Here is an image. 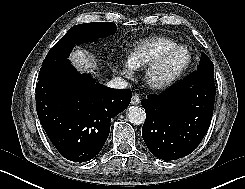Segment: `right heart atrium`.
Instances as JSON below:
<instances>
[{
    "label": "right heart atrium",
    "mask_w": 245,
    "mask_h": 189,
    "mask_svg": "<svg viewBox=\"0 0 245 189\" xmlns=\"http://www.w3.org/2000/svg\"><path fill=\"white\" fill-rule=\"evenodd\" d=\"M121 72L127 76V77H130L132 75V72H133V68L132 66L129 64V62H126L122 65L121 67Z\"/></svg>",
    "instance_id": "right-heart-atrium-1"
}]
</instances>
